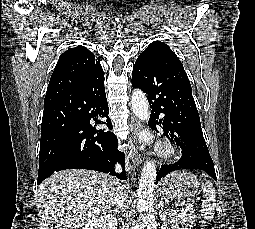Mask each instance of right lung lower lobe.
I'll use <instances>...</instances> for the list:
<instances>
[{"label":"right lung lower lobe","mask_w":255,"mask_h":229,"mask_svg":"<svg viewBox=\"0 0 255 229\" xmlns=\"http://www.w3.org/2000/svg\"><path fill=\"white\" fill-rule=\"evenodd\" d=\"M108 113L102 67L84 77L70 97L44 106L42 130L61 118L68 119L70 124L53 165L49 168L39 165L38 185L64 169L97 170L125 179V173L114 171V164H124L125 156L117 150L116 136L102 127L112 129Z\"/></svg>","instance_id":"98d812e1"}]
</instances>
